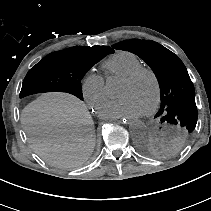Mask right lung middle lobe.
<instances>
[{"mask_svg": "<svg viewBox=\"0 0 211 211\" xmlns=\"http://www.w3.org/2000/svg\"><path fill=\"white\" fill-rule=\"evenodd\" d=\"M105 56L101 52H85L74 47L53 52L29 70L23 81L20 97L61 91L82 100L81 79Z\"/></svg>", "mask_w": 211, "mask_h": 211, "instance_id": "dd1d6c3e", "label": "right lung middle lobe"}]
</instances>
